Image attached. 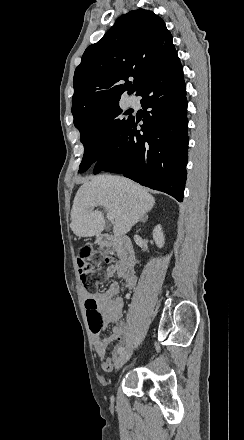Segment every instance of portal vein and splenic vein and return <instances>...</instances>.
Masks as SVG:
<instances>
[{
  "label": "portal vein and splenic vein",
  "mask_w": 244,
  "mask_h": 440,
  "mask_svg": "<svg viewBox=\"0 0 244 440\" xmlns=\"http://www.w3.org/2000/svg\"><path fill=\"white\" fill-rule=\"evenodd\" d=\"M93 206H96L95 202H94ZM107 220H109V222H111V224H113L114 214H107Z\"/></svg>",
  "instance_id": "obj_1"
}]
</instances>
